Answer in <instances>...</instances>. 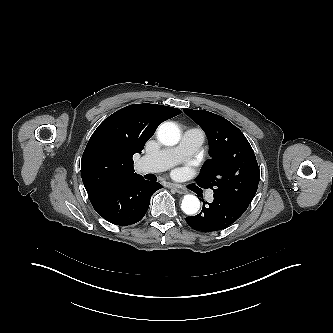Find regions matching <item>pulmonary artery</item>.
I'll return each instance as SVG.
<instances>
[{
    "label": "pulmonary artery",
    "instance_id": "e3ab8cb5",
    "mask_svg": "<svg viewBox=\"0 0 333 333\" xmlns=\"http://www.w3.org/2000/svg\"><path fill=\"white\" fill-rule=\"evenodd\" d=\"M205 133L200 128L187 129L180 143L175 147H169L147 154L139 161L141 172L156 173L169 169L178 164L183 159L193 155L204 143ZM213 193L207 195V200L212 201Z\"/></svg>",
    "mask_w": 333,
    "mask_h": 333
}]
</instances>
